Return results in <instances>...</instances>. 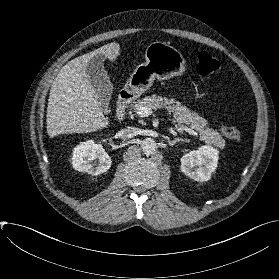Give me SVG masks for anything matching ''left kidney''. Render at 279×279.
Here are the masks:
<instances>
[{
	"mask_svg": "<svg viewBox=\"0 0 279 279\" xmlns=\"http://www.w3.org/2000/svg\"><path fill=\"white\" fill-rule=\"evenodd\" d=\"M219 151L209 145L191 151L181 158V171L195 181H208L218 164Z\"/></svg>",
	"mask_w": 279,
	"mask_h": 279,
	"instance_id": "left-kidney-1",
	"label": "left kidney"
}]
</instances>
